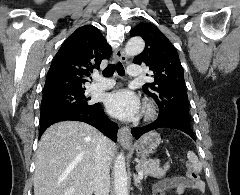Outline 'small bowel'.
Instances as JSON below:
<instances>
[{
	"instance_id": "obj_1",
	"label": "small bowel",
	"mask_w": 240,
	"mask_h": 195,
	"mask_svg": "<svg viewBox=\"0 0 240 195\" xmlns=\"http://www.w3.org/2000/svg\"><path fill=\"white\" fill-rule=\"evenodd\" d=\"M190 190L205 195V186H194V182H189V177L165 178L154 185L152 195H183Z\"/></svg>"
}]
</instances>
